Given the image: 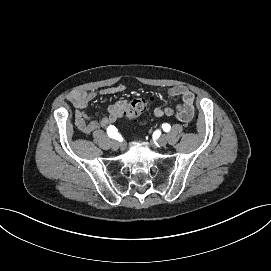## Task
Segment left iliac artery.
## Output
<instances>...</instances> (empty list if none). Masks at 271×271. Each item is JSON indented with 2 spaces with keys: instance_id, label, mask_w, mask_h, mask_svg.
I'll return each mask as SVG.
<instances>
[{
  "instance_id": "44dca946",
  "label": "left iliac artery",
  "mask_w": 271,
  "mask_h": 271,
  "mask_svg": "<svg viewBox=\"0 0 271 271\" xmlns=\"http://www.w3.org/2000/svg\"><path fill=\"white\" fill-rule=\"evenodd\" d=\"M162 127H163V130L165 131V132H168L169 130H170V128H171V126L169 125V124H163L162 125Z\"/></svg>"
}]
</instances>
